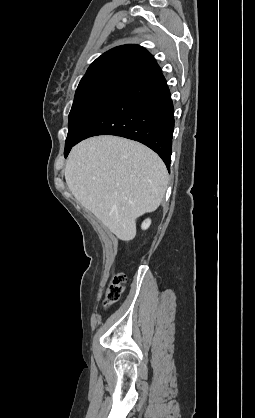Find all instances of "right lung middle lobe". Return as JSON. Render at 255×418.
Returning <instances> with one entry per match:
<instances>
[{"mask_svg": "<svg viewBox=\"0 0 255 418\" xmlns=\"http://www.w3.org/2000/svg\"><path fill=\"white\" fill-rule=\"evenodd\" d=\"M125 86L99 82L78 86L69 114L65 147L72 144L94 115Z\"/></svg>", "mask_w": 255, "mask_h": 418, "instance_id": "right-lung-middle-lobe-1", "label": "right lung middle lobe"}]
</instances>
